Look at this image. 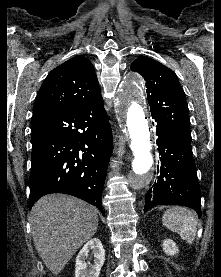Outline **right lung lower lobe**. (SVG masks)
<instances>
[{
    "mask_svg": "<svg viewBox=\"0 0 221 277\" xmlns=\"http://www.w3.org/2000/svg\"><path fill=\"white\" fill-rule=\"evenodd\" d=\"M103 99L81 108L33 114L29 208L42 196H76L103 214L101 197L112 151Z\"/></svg>",
    "mask_w": 221,
    "mask_h": 277,
    "instance_id": "98d812e1",
    "label": "right lung lower lobe"
}]
</instances>
